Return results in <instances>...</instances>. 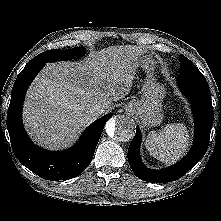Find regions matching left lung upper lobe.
I'll list each match as a JSON object with an SVG mask.
<instances>
[{
	"instance_id": "1",
	"label": "left lung upper lobe",
	"mask_w": 221,
	"mask_h": 221,
	"mask_svg": "<svg viewBox=\"0 0 221 221\" xmlns=\"http://www.w3.org/2000/svg\"><path fill=\"white\" fill-rule=\"evenodd\" d=\"M205 79L199 69L184 55H180L178 80Z\"/></svg>"
}]
</instances>
